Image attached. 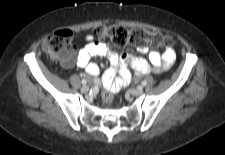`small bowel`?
Masks as SVG:
<instances>
[{"label":"small bowel","mask_w":225,"mask_h":155,"mask_svg":"<svg viewBox=\"0 0 225 155\" xmlns=\"http://www.w3.org/2000/svg\"><path fill=\"white\" fill-rule=\"evenodd\" d=\"M71 42L76 47L83 46L78 52L76 64L84 68L90 76L98 77L100 74L99 66L91 62L92 57L101 56L108 59L110 67L103 74L101 84L103 89L106 87L111 88L112 94L130 80L129 67H132L140 74L160 73L168 69L175 59V53L171 48L164 49L160 53L156 50L150 51L147 46L138 47L140 53L148 54V60L126 53L118 54L107 44L98 42L96 35L93 33L76 32L72 35ZM72 64L73 62H64L66 67H70ZM116 75L119 76L117 80H115Z\"/></svg>","instance_id":"1"}]
</instances>
